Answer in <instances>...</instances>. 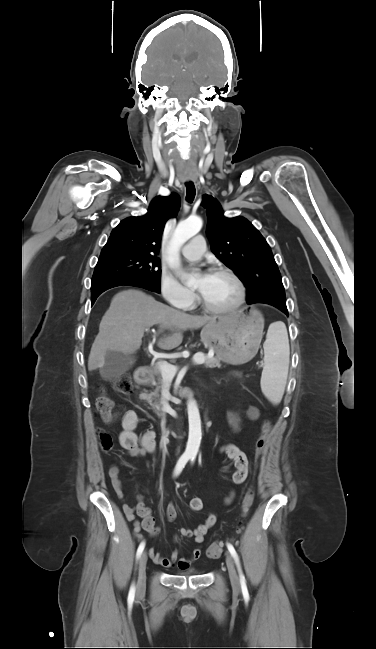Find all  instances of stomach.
I'll return each mask as SVG.
<instances>
[{"label": "stomach", "instance_id": "obj_1", "mask_svg": "<svg viewBox=\"0 0 376 649\" xmlns=\"http://www.w3.org/2000/svg\"><path fill=\"white\" fill-rule=\"evenodd\" d=\"M264 321L258 311L250 315L234 313L209 322L201 331L202 343L213 348L218 359L241 364L258 352Z\"/></svg>", "mask_w": 376, "mask_h": 649}]
</instances>
